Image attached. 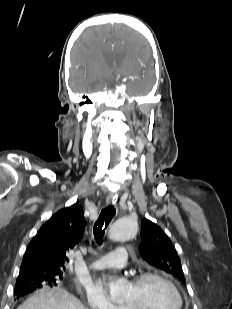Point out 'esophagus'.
<instances>
[{"label":"esophagus","mask_w":232,"mask_h":309,"mask_svg":"<svg viewBox=\"0 0 232 309\" xmlns=\"http://www.w3.org/2000/svg\"><path fill=\"white\" fill-rule=\"evenodd\" d=\"M106 201H107L108 204L111 203V202H112V203L115 202L114 197L111 196V195L107 197Z\"/></svg>","instance_id":"esophagus-1"}]
</instances>
